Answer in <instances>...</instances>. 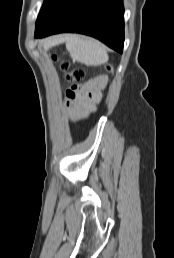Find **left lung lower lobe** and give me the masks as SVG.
<instances>
[{
	"label": "left lung lower lobe",
	"instance_id": "0a47b994",
	"mask_svg": "<svg viewBox=\"0 0 174 258\" xmlns=\"http://www.w3.org/2000/svg\"><path fill=\"white\" fill-rule=\"evenodd\" d=\"M76 32L93 36L122 53L124 44L123 0H58L35 37Z\"/></svg>",
	"mask_w": 174,
	"mask_h": 258
}]
</instances>
